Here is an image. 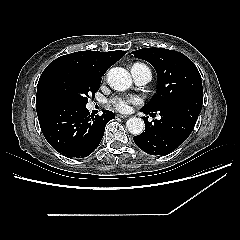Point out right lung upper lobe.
<instances>
[{"mask_svg": "<svg viewBox=\"0 0 240 240\" xmlns=\"http://www.w3.org/2000/svg\"><path fill=\"white\" fill-rule=\"evenodd\" d=\"M126 51H79L67 55H63L52 61L43 71L37 86L36 94V110L37 113L47 109L39 103L38 87L41 81L53 70L60 67H69L73 70L92 78L102 79L107 69L116 61L120 60Z\"/></svg>", "mask_w": 240, "mask_h": 240, "instance_id": "right-lung-upper-lobe-1", "label": "right lung upper lobe"}]
</instances>
